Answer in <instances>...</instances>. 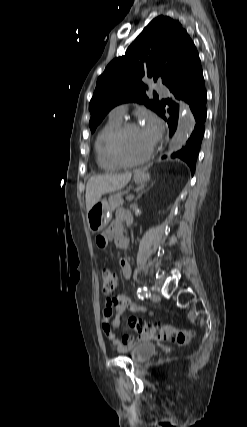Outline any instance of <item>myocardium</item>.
I'll list each match as a JSON object with an SVG mask.
<instances>
[{
    "mask_svg": "<svg viewBox=\"0 0 247 427\" xmlns=\"http://www.w3.org/2000/svg\"><path fill=\"white\" fill-rule=\"evenodd\" d=\"M139 125L134 122H124L121 124V126L116 130L114 133L111 142H110V151L113 156V158L121 165L123 166H134L139 165L142 163H145L148 161L155 150V146L153 145L148 152L143 155L140 158L137 159H130L128 158L123 151V140L126 135V133L134 128H138Z\"/></svg>",
    "mask_w": 247,
    "mask_h": 427,
    "instance_id": "myocardium-1",
    "label": "myocardium"
}]
</instances>
